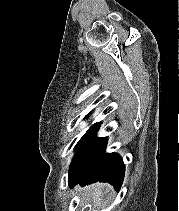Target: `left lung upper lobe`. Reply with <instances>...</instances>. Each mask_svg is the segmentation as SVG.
<instances>
[{"instance_id": "left-lung-upper-lobe-1", "label": "left lung upper lobe", "mask_w": 179, "mask_h": 211, "mask_svg": "<svg viewBox=\"0 0 179 211\" xmlns=\"http://www.w3.org/2000/svg\"><path fill=\"white\" fill-rule=\"evenodd\" d=\"M88 131L84 134V136L79 140V142L76 144L75 146V150H77L79 148V146L81 145V143L83 142L85 136L87 135Z\"/></svg>"}]
</instances>
